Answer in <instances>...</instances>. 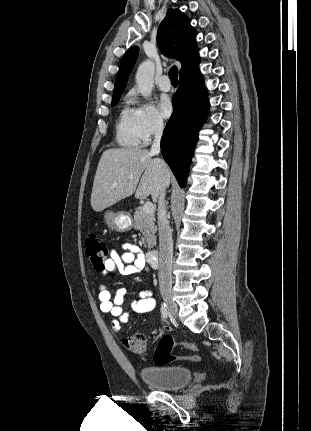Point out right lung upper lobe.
<instances>
[{
  "mask_svg": "<svg viewBox=\"0 0 311 431\" xmlns=\"http://www.w3.org/2000/svg\"><path fill=\"white\" fill-rule=\"evenodd\" d=\"M196 31L190 19L178 9H169L157 32V44L167 57L181 62L180 77L198 68L199 56L196 47ZM138 47L132 46L124 54L113 91V98L121 96L129 74L138 56Z\"/></svg>",
  "mask_w": 311,
  "mask_h": 431,
  "instance_id": "cb5924a9",
  "label": "right lung upper lobe"
}]
</instances>
